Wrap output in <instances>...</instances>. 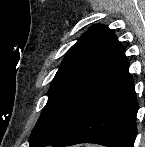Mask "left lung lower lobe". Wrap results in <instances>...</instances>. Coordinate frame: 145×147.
Returning a JSON list of instances; mask_svg holds the SVG:
<instances>
[{"instance_id": "left-lung-lower-lobe-1", "label": "left lung lower lobe", "mask_w": 145, "mask_h": 147, "mask_svg": "<svg viewBox=\"0 0 145 147\" xmlns=\"http://www.w3.org/2000/svg\"><path fill=\"white\" fill-rule=\"evenodd\" d=\"M138 108L125 49L117 41L67 129L43 147L79 143L132 147Z\"/></svg>"}]
</instances>
